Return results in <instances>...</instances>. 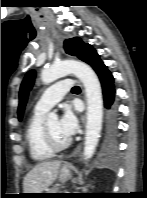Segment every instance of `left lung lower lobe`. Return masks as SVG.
<instances>
[{"instance_id": "obj_1", "label": "left lung lower lobe", "mask_w": 147, "mask_h": 198, "mask_svg": "<svg viewBox=\"0 0 147 198\" xmlns=\"http://www.w3.org/2000/svg\"><path fill=\"white\" fill-rule=\"evenodd\" d=\"M83 61L95 70L102 85L104 105L109 110L107 152L110 156H113L117 150V108L114 104V79L107 67L100 60L97 52L91 46L87 49Z\"/></svg>"}]
</instances>
